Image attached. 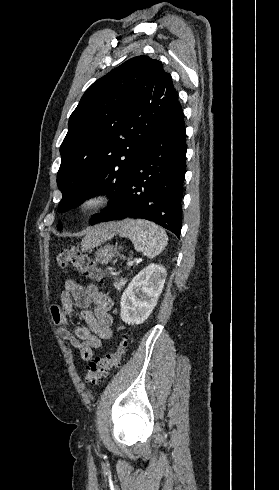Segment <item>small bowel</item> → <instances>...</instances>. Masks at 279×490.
I'll return each instance as SVG.
<instances>
[{
    "label": "small bowel",
    "mask_w": 279,
    "mask_h": 490,
    "mask_svg": "<svg viewBox=\"0 0 279 490\" xmlns=\"http://www.w3.org/2000/svg\"><path fill=\"white\" fill-rule=\"evenodd\" d=\"M74 306L80 308L81 318L87 326H78L71 332L68 317L73 314ZM111 307V299L96 285L85 287L73 279H67L60 294V305H53L50 313L59 336L76 349L83 360H89L93 349L101 348L104 341L112 338Z\"/></svg>",
    "instance_id": "c3829d8e"
}]
</instances>
